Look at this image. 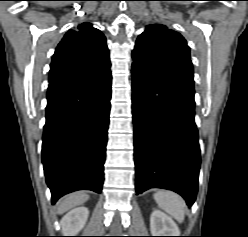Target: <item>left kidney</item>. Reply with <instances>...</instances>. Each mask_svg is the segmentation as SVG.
Segmentation results:
<instances>
[{"label":"left kidney","instance_id":"1","mask_svg":"<svg viewBox=\"0 0 248 237\" xmlns=\"http://www.w3.org/2000/svg\"><path fill=\"white\" fill-rule=\"evenodd\" d=\"M152 236H180L177 224L167 214L154 210L150 217Z\"/></svg>","mask_w":248,"mask_h":237}]
</instances>
